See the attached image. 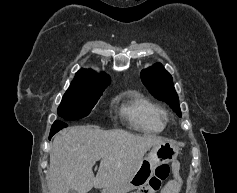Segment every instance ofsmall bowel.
<instances>
[{
	"label": "small bowel",
	"instance_id": "obj_1",
	"mask_svg": "<svg viewBox=\"0 0 237 193\" xmlns=\"http://www.w3.org/2000/svg\"><path fill=\"white\" fill-rule=\"evenodd\" d=\"M182 188V179L178 174L177 168H175L174 178L164 186V188L161 190V193H181Z\"/></svg>",
	"mask_w": 237,
	"mask_h": 193
}]
</instances>
